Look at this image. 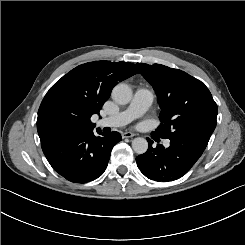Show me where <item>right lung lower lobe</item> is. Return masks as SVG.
<instances>
[{"mask_svg":"<svg viewBox=\"0 0 245 245\" xmlns=\"http://www.w3.org/2000/svg\"><path fill=\"white\" fill-rule=\"evenodd\" d=\"M96 136L92 129L54 136L42 142V150L53 169L73 183L100 177L111 150L121 140L118 132Z\"/></svg>","mask_w":245,"mask_h":245,"instance_id":"obj_1","label":"right lung lower lobe"}]
</instances>
